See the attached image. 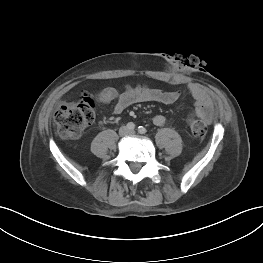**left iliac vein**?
<instances>
[{
	"label": "left iliac vein",
	"mask_w": 263,
	"mask_h": 263,
	"mask_svg": "<svg viewBox=\"0 0 263 263\" xmlns=\"http://www.w3.org/2000/svg\"><path fill=\"white\" fill-rule=\"evenodd\" d=\"M129 134H131V135H134L135 134V131H129Z\"/></svg>",
	"instance_id": "obj_1"
}]
</instances>
